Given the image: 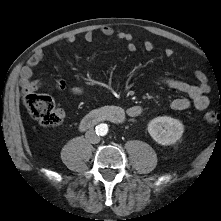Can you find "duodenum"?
Returning <instances> with one entry per match:
<instances>
[{"mask_svg": "<svg viewBox=\"0 0 221 221\" xmlns=\"http://www.w3.org/2000/svg\"><path fill=\"white\" fill-rule=\"evenodd\" d=\"M125 120V113L115 106H105L89 112L80 122L81 130L89 129L98 123L107 121L115 124H122Z\"/></svg>", "mask_w": 221, "mask_h": 221, "instance_id": "410a0bca", "label": "duodenum"}]
</instances>
